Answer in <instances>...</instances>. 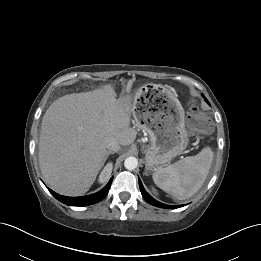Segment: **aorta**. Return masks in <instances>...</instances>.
Returning a JSON list of instances; mask_svg holds the SVG:
<instances>
[{
    "label": "aorta",
    "instance_id": "obj_1",
    "mask_svg": "<svg viewBox=\"0 0 261 261\" xmlns=\"http://www.w3.org/2000/svg\"><path fill=\"white\" fill-rule=\"evenodd\" d=\"M138 165V160L136 157L130 156L125 159L124 166L128 170H134Z\"/></svg>",
    "mask_w": 261,
    "mask_h": 261
}]
</instances>
